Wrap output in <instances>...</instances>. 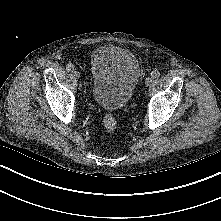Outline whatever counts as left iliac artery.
Instances as JSON below:
<instances>
[{"label": "left iliac artery", "instance_id": "left-iliac-artery-1", "mask_svg": "<svg viewBox=\"0 0 221 221\" xmlns=\"http://www.w3.org/2000/svg\"><path fill=\"white\" fill-rule=\"evenodd\" d=\"M160 76V72L157 70L152 71L151 77L152 78H158Z\"/></svg>", "mask_w": 221, "mask_h": 221}]
</instances>
